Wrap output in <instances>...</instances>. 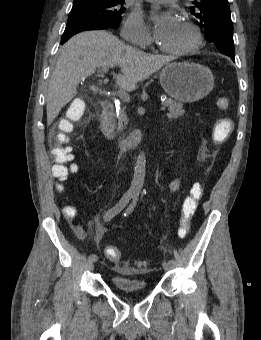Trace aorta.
<instances>
[{"label":"aorta","mask_w":261,"mask_h":340,"mask_svg":"<svg viewBox=\"0 0 261 340\" xmlns=\"http://www.w3.org/2000/svg\"><path fill=\"white\" fill-rule=\"evenodd\" d=\"M145 172H146V157L144 152H140L137 157L133 179L128 191L129 194L134 196H138L140 194L144 184Z\"/></svg>","instance_id":"762f6f07"}]
</instances>
